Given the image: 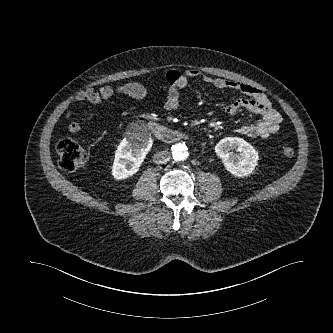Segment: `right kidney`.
<instances>
[{
    "mask_svg": "<svg viewBox=\"0 0 333 333\" xmlns=\"http://www.w3.org/2000/svg\"><path fill=\"white\" fill-rule=\"evenodd\" d=\"M152 147L148 135L125 137L119 144L112 166L115 180L127 179L136 174Z\"/></svg>",
    "mask_w": 333,
    "mask_h": 333,
    "instance_id": "1",
    "label": "right kidney"
}]
</instances>
